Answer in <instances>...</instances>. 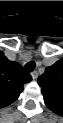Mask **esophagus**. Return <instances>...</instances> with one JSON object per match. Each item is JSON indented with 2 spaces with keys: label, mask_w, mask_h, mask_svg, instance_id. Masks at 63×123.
I'll use <instances>...</instances> for the list:
<instances>
[{
  "label": "esophagus",
  "mask_w": 63,
  "mask_h": 123,
  "mask_svg": "<svg viewBox=\"0 0 63 123\" xmlns=\"http://www.w3.org/2000/svg\"><path fill=\"white\" fill-rule=\"evenodd\" d=\"M31 76H32L33 79H36L38 77V72L37 71H33L31 73Z\"/></svg>",
  "instance_id": "34e87169"
}]
</instances>
